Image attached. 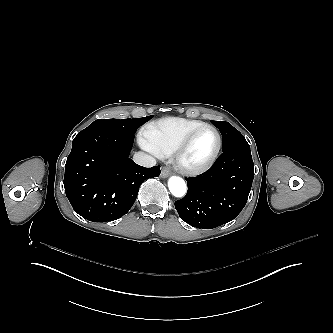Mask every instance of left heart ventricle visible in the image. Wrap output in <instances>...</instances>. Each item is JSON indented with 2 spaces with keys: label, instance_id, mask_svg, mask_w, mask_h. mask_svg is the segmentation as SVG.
<instances>
[{
  "label": "left heart ventricle",
  "instance_id": "left-heart-ventricle-1",
  "mask_svg": "<svg viewBox=\"0 0 333 333\" xmlns=\"http://www.w3.org/2000/svg\"><path fill=\"white\" fill-rule=\"evenodd\" d=\"M216 147L217 137L214 131L205 128L193 137L183 155L182 161L189 166L202 165L212 157Z\"/></svg>",
  "mask_w": 333,
  "mask_h": 333
}]
</instances>
